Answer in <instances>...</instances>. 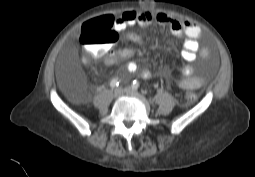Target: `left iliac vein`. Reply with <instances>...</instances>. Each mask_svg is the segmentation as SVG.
I'll list each match as a JSON object with an SVG mask.
<instances>
[{
    "label": "left iliac vein",
    "mask_w": 255,
    "mask_h": 177,
    "mask_svg": "<svg viewBox=\"0 0 255 177\" xmlns=\"http://www.w3.org/2000/svg\"><path fill=\"white\" fill-rule=\"evenodd\" d=\"M124 91H125V93L126 94H137V92L133 89V88H131V87H126L125 89H124Z\"/></svg>",
    "instance_id": "obj_1"
}]
</instances>
